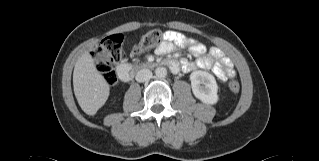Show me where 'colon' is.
Segmentation results:
<instances>
[{
    "label": "colon",
    "instance_id": "5ec220e1",
    "mask_svg": "<svg viewBox=\"0 0 319 161\" xmlns=\"http://www.w3.org/2000/svg\"><path fill=\"white\" fill-rule=\"evenodd\" d=\"M162 36L159 30H151L143 35L136 46L139 54H145L152 48L159 45ZM123 56L122 37L119 34L108 37L103 45L95 52V58L98 61V68L108 85L116 83L114 71V63L119 61ZM229 89L233 93H237L240 85L237 80L229 82Z\"/></svg>",
    "mask_w": 319,
    "mask_h": 161
}]
</instances>
